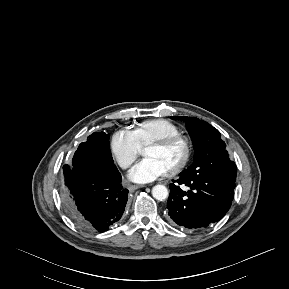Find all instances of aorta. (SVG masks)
Returning <instances> with one entry per match:
<instances>
[{
	"label": "aorta",
	"instance_id": "1",
	"mask_svg": "<svg viewBox=\"0 0 289 289\" xmlns=\"http://www.w3.org/2000/svg\"><path fill=\"white\" fill-rule=\"evenodd\" d=\"M168 194V189L164 185L158 184L152 188V196L158 201L165 200Z\"/></svg>",
	"mask_w": 289,
	"mask_h": 289
}]
</instances>
